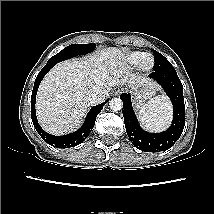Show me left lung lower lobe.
<instances>
[{"label":"left lung lower lobe","instance_id":"0a47b994","mask_svg":"<svg viewBox=\"0 0 214 214\" xmlns=\"http://www.w3.org/2000/svg\"><path fill=\"white\" fill-rule=\"evenodd\" d=\"M164 89L173 104V121L168 130L161 133H150L143 130L132 108L130 94L123 93L120 98L123 101V116L126 132L129 139L138 149L145 152H160L171 148L179 139L185 125V105L183 98V86L173 71H156L149 75Z\"/></svg>","mask_w":214,"mask_h":214}]
</instances>
